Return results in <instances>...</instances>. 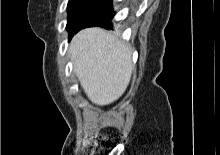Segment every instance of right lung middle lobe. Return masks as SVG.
I'll use <instances>...</instances> for the list:
<instances>
[{"label":"right lung middle lobe","mask_w":220,"mask_h":155,"mask_svg":"<svg viewBox=\"0 0 220 155\" xmlns=\"http://www.w3.org/2000/svg\"><path fill=\"white\" fill-rule=\"evenodd\" d=\"M111 4L112 0H69L66 29L71 33L74 32L95 18L113 10Z\"/></svg>","instance_id":"right-lung-middle-lobe-1"}]
</instances>
